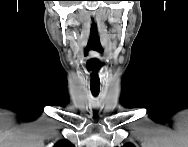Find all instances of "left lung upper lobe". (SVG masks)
I'll use <instances>...</instances> for the list:
<instances>
[{"mask_svg": "<svg viewBox=\"0 0 188 147\" xmlns=\"http://www.w3.org/2000/svg\"><path fill=\"white\" fill-rule=\"evenodd\" d=\"M125 147H133V145L128 143V144L125 145Z\"/></svg>", "mask_w": 188, "mask_h": 147, "instance_id": "5c2ea615", "label": "left lung upper lobe"}]
</instances>
